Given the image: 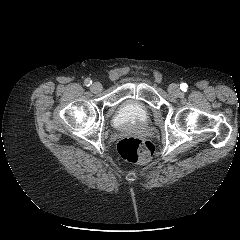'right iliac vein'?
<instances>
[{"instance_id": "obj_1", "label": "right iliac vein", "mask_w": 240, "mask_h": 240, "mask_svg": "<svg viewBox=\"0 0 240 240\" xmlns=\"http://www.w3.org/2000/svg\"><path fill=\"white\" fill-rule=\"evenodd\" d=\"M91 91L94 93H99L102 91V85L99 82H94L91 87Z\"/></svg>"}]
</instances>
